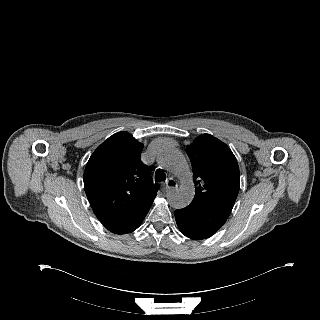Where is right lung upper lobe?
<instances>
[{"mask_svg": "<svg viewBox=\"0 0 320 320\" xmlns=\"http://www.w3.org/2000/svg\"><path fill=\"white\" fill-rule=\"evenodd\" d=\"M143 144L118 132L91 155L84 171V189L103 222L150 208L158 191L148 167L140 161Z\"/></svg>", "mask_w": 320, "mask_h": 320, "instance_id": "obj_1", "label": "right lung upper lobe"}]
</instances>
